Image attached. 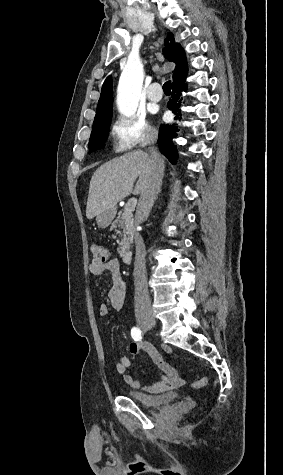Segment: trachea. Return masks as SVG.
Listing matches in <instances>:
<instances>
[{
	"label": "trachea",
	"instance_id": "3493384b",
	"mask_svg": "<svg viewBox=\"0 0 283 475\" xmlns=\"http://www.w3.org/2000/svg\"><path fill=\"white\" fill-rule=\"evenodd\" d=\"M163 91L165 93H170L171 92V81L168 80V82H165L163 85Z\"/></svg>",
	"mask_w": 283,
	"mask_h": 475
}]
</instances>
